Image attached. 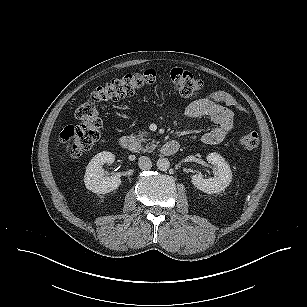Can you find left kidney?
I'll return each instance as SVG.
<instances>
[{"label":"left kidney","instance_id":"obj_1","mask_svg":"<svg viewBox=\"0 0 307 307\" xmlns=\"http://www.w3.org/2000/svg\"><path fill=\"white\" fill-rule=\"evenodd\" d=\"M207 161L216 166L214 177L206 179L201 174H195L191 177V182L197 189L207 194L219 193L228 187L231 182L230 166L218 153L208 154Z\"/></svg>","mask_w":307,"mask_h":307}]
</instances>
